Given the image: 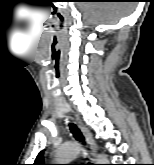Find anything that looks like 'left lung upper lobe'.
Returning <instances> with one entry per match:
<instances>
[{"label":"left lung upper lobe","instance_id":"1","mask_svg":"<svg viewBox=\"0 0 154 165\" xmlns=\"http://www.w3.org/2000/svg\"><path fill=\"white\" fill-rule=\"evenodd\" d=\"M44 151L42 150L36 157L33 165H45L43 160Z\"/></svg>","mask_w":154,"mask_h":165}]
</instances>
